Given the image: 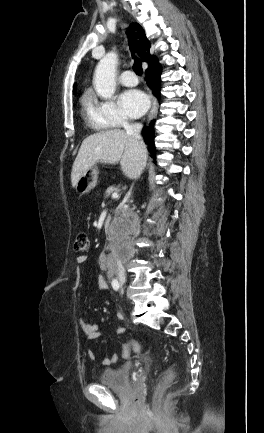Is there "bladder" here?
I'll return each instance as SVG.
<instances>
[{"label":"bladder","instance_id":"obj_1","mask_svg":"<svg viewBox=\"0 0 264 433\" xmlns=\"http://www.w3.org/2000/svg\"><path fill=\"white\" fill-rule=\"evenodd\" d=\"M131 370V364H125L117 369H104L100 374L99 382L111 390L127 392L130 389Z\"/></svg>","mask_w":264,"mask_h":433}]
</instances>
